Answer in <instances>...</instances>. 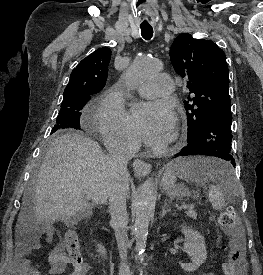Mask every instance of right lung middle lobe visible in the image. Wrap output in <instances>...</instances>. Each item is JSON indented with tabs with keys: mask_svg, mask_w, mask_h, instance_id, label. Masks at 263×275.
Returning <instances> with one entry per match:
<instances>
[{
	"mask_svg": "<svg viewBox=\"0 0 263 275\" xmlns=\"http://www.w3.org/2000/svg\"><path fill=\"white\" fill-rule=\"evenodd\" d=\"M91 95L79 94L63 98L61 109L51 134L60 132L64 129H80L81 110L90 100Z\"/></svg>",
	"mask_w": 263,
	"mask_h": 275,
	"instance_id": "dd1d6c3e",
	"label": "right lung middle lobe"
}]
</instances>
